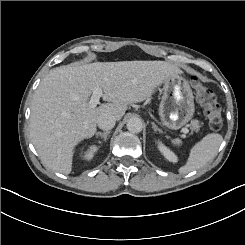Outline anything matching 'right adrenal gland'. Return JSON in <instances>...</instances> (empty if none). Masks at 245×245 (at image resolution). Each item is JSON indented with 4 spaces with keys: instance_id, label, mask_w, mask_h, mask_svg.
Listing matches in <instances>:
<instances>
[{
    "instance_id": "obj_1",
    "label": "right adrenal gland",
    "mask_w": 245,
    "mask_h": 245,
    "mask_svg": "<svg viewBox=\"0 0 245 245\" xmlns=\"http://www.w3.org/2000/svg\"><path fill=\"white\" fill-rule=\"evenodd\" d=\"M111 130H107V131H104V132H101V131H98L96 132V135L100 134L102 136H104V139L107 140L108 139V135L110 134Z\"/></svg>"
}]
</instances>
